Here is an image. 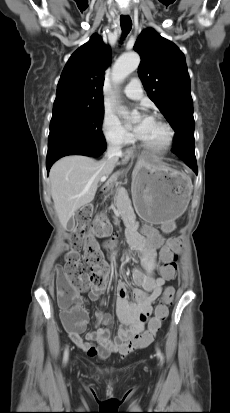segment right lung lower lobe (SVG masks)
I'll return each instance as SVG.
<instances>
[{
    "mask_svg": "<svg viewBox=\"0 0 230 413\" xmlns=\"http://www.w3.org/2000/svg\"><path fill=\"white\" fill-rule=\"evenodd\" d=\"M106 150V145L104 146H69L57 150L56 152L47 155L46 159V168L47 172L53 163L57 161L59 158L67 156V155H84V156H92L97 157L100 156Z\"/></svg>",
    "mask_w": 230,
    "mask_h": 413,
    "instance_id": "obj_1",
    "label": "right lung lower lobe"
}]
</instances>
